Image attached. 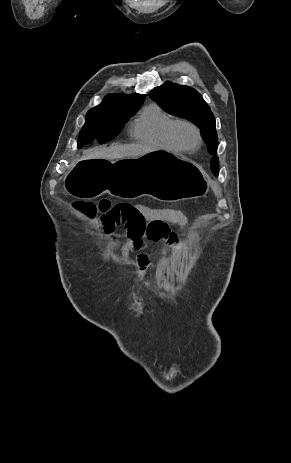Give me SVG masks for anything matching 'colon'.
Segmentation results:
<instances>
[{"label": "colon", "instance_id": "5ec220e1", "mask_svg": "<svg viewBox=\"0 0 291 463\" xmlns=\"http://www.w3.org/2000/svg\"><path fill=\"white\" fill-rule=\"evenodd\" d=\"M75 208L83 211L85 214L94 216L101 213L107 217V220L101 221V228L111 229L114 222L124 220V216L130 210L128 204H112L108 199H102L98 204L92 202L77 201L74 203Z\"/></svg>", "mask_w": 291, "mask_h": 463}]
</instances>
